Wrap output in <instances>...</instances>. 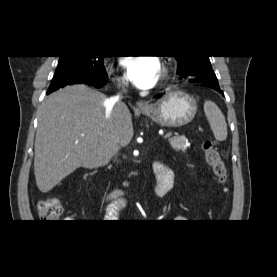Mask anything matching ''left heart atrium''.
Instances as JSON below:
<instances>
[{"label":"left heart atrium","mask_w":277,"mask_h":277,"mask_svg":"<svg viewBox=\"0 0 277 277\" xmlns=\"http://www.w3.org/2000/svg\"><path fill=\"white\" fill-rule=\"evenodd\" d=\"M122 65L132 83L138 88L148 89L155 85L160 73V63L154 57H125Z\"/></svg>","instance_id":"1"}]
</instances>
